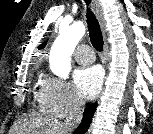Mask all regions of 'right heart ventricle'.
Listing matches in <instances>:
<instances>
[{
    "label": "right heart ventricle",
    "instance_id": "right-heart-ventricle-1",
    "mask_svg": "<svg viewBox=\"0 0 153 134\" xmlns=\"http://www.w3.org/2000/svg\"><path fill=\"white\" fill-rule=\"evenodd\" d=\"M40 95H41V88H40V90L38 92V98H40Z\"/></svg>",
    "mask_w": 153,
    "mask_h": 134
}]
</instances>
